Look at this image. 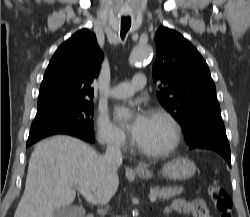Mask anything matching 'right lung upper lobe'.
Wrapping results in <instances>:
<instances>
[{"label": "right lung upper lobe", "mask_w": 250, "mask_h": 217, "mask_svg": "<svg viewBox=\"0 0 250 217\" xmlns=\"http://www.w3.org/2000/svg\"><path fill=\"white\" fill-rule=\"evenodd\" d=\"M102 59L94 33L82 29L71 36L56 50L46 69L37 110L92 99L90 85L98 76Z\"/></svg>", "instance_id": "obj_1"}]
</instances>
